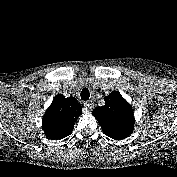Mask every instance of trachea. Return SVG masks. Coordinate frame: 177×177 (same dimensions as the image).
Listing matches in <instances>:
<instances>
[{
	"mask_svg": "<svg viewBox=\"0 0 177 177\" xmlns=\"http://www.w3.org/2000/svg\"><path fill=\"white\" fill-rule=\"evenodd\" d=\"M80 96H81L82 100H88L89 97H90V93H89L88 88H83L82 91H81Z\"/></svg>",
	"mask_w": 177,
	"mask_h": 177,
	"instance_id": "3493384b",
	"label": "trachea"
}]
</instances>
